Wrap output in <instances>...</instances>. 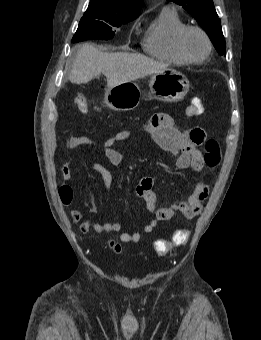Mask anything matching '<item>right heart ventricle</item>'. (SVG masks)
<instances>
[{"instance_id":"obj_1","label":"right heart ventricle","mask_w":261,"mask_h":340,"mask_svg":"<svg viewBox=\"0 0 261 340\" xmlns=\"http://www.w3.org/2000/svg\"><path fill=\"white\" fill-rule=\"evenodd\" d=\"M186 25L177 10L165 6L152 21L144 33L143 50L150 56L175 65H186L175 48V37L178 31Z\"/></svg>"}]
</instances>
